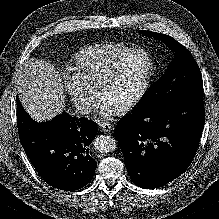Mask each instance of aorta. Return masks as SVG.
<instances>
[{
  "label": "aorta",
  "mask_w": 219,
  "mask_h": 219,
  "mask_svg": "<svg viewBox=\"0 0 219 219\" xmlns=\"http://www.w3.org/2000/svg\"><path fill=\"white\" fill-rule=\"evenodd\" d=\"M93 145L99 152L108 153L116 149L117 141L111 136L101 135L95 138Z\"/></svg>",
  "instance_id": "aorta-1"
}]
</instances>
